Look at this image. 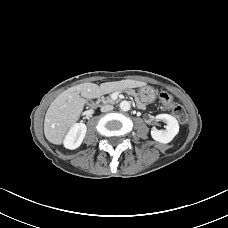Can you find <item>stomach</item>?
Masks as SVG:
<instances>
[{
	"label": "stomach",
	"mask_w": 228,
	"mask_h": 228,
	"mask_svg": "<svg viewBox=\"0 0 228 228\" xmlns=\"http://www.w3.org/2000/svg\"><path fill=\"white\" fill-rule=\"evenodd\" d=\"M138 96L144 103H152L155 101L157 94L151 86H142L138 89Z\"/></svg>",
	"instance_id": "0dacf381"
}]
</instances>
